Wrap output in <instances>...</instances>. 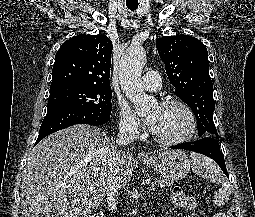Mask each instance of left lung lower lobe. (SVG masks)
<instances>
[{
	"label": "left lung lower lobe",
	"mask_w": 255,
	"mask_h": 217,
	"mask_svg": "<svg viewBox=\"0 0 255 217\" xmlns=\"http://www.w3.org/2000/svg\"><path fill=\"white\" fill-rule=\"evenodd\" d=\"M170 148L189 150V151L197 152L207 157H210L219 165V167L222 169L224 174L227 177H229L227 169H226L223 153L220 150V146H219V143L217 142L216 137L214 136H204L192 144H182V145H177Z\"/></svg>",
	"instance_id": "0a47b994"
}]
</instances>
